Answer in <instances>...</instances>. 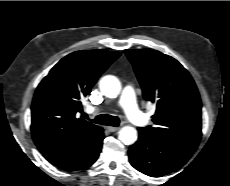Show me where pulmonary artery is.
<instances>
[{
	"instance_id": "1",
	"label": "pulmonary artery",
	"mask_w": 230,
	"mask_h": 186,
	"mask_svg": "<svg viewBox=\"0 0 230 186\" xmlns=\"http://www.w3.org/2000/svg\"><path fill=\"white\" fill-rule=\"evenodd\" d=\"M120 104L129 120L136 126L142 127L147 123V117L138 109L135 92L131 86H126L121 94Z\"/></svg>"
}]
</instances>
